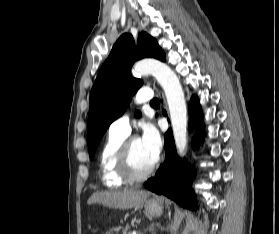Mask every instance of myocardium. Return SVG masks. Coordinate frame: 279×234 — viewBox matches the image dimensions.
Listing matches in <instances>:
<instances>
[{
    "mask_svg": "<svg viewBox=\"0 0 279 234\" xmlns=\"http://www.w3.org/2000/svg\"><path fill=\"white\" fill-rule=\"evenodd\" d=\"M136 136L126 137L119 146L116 166L119 175L127 182H139L149 177L158 164L156 159L149 168L143 172H137L131 162V143Z\"/></svg>",
    "mask_w": 279,
    "mask_h": 234,
    "instance_id": "myocardium-1",
    "label": "myocardium"
}]
</instances>
